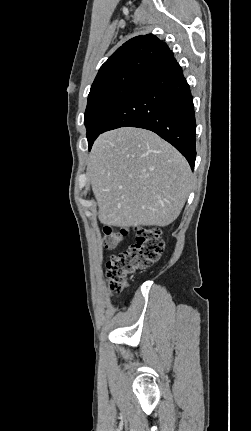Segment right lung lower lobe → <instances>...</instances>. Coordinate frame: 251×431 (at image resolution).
<instances>
[{
    "label": "right lung lower lobe",
    "mask_w": 251,
    "mask_h": 431,
    "mask_svg": "<svg viewBox=\"0 0 251 431\" xmlns=\"http://www.w3.org/2000/svg\"><path fill=\"white\" fill-rule=\"evenodd\" d=\"M126 126L155 132L182 153L191 169L194 168L196 121L192 95L182 68L170 50L161 49L153 54L144 74L101 133Z\"/></svg>",
    "instance_id": "right-lung-lower-lobe-1"
}]
</instances>
